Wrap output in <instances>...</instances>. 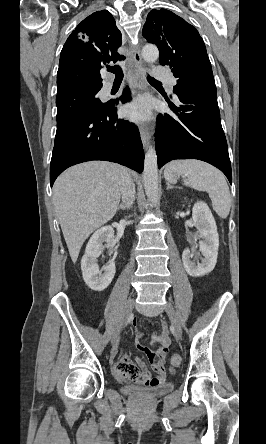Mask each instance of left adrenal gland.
<instances>
[{
  "mask_svg": "<svg viewBox=\"0 0 266 444\" xmlns=\"http://www.w3.org/2000/svg\"><path fill=\"white\" fill-rule=\"evenodd\" d=\"M166 184H167V190L177 188L176 186H172L169 182H167Z\"/></svg>",
  "mask_w": 266,
  "mask_h": 444,
  "instance_id": "1",
  "label": "left adrenal gland"
}]
</instances>
